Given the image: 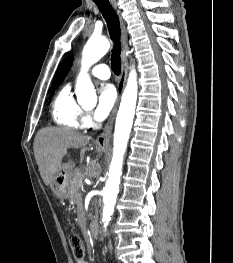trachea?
Returning <instances> with one entry per match:
<instances>
[{
	"instance_id": "obj_1",
	"label": "trachea",
	"mask_w": 233,
	"mask_h": 263,
	"mask_svg": "<svg viewBox=\"0 0 233 263\" xmlns=\"http://www.w3.org/2000/svg\"><path fill=\"white\" fill-rule=\"evenodd\" d=\"M101 11L110 33V37L114 42L111 57L112 70L116 75L121 72V60H120V22L118 15L114 11L113 7L108 0H93Z\"/></svg>"
}]
</instances>
